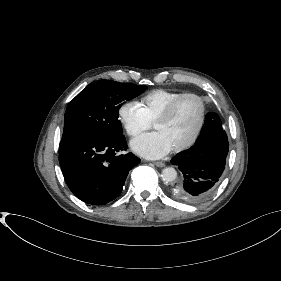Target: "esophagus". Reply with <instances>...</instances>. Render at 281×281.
Returning a JSON list of instances; mask_svg holds the SVG:
<instances>
[{
    "label": "esophagus",
    "instance_id": "esophagus-1",
    "mask_svg": "<svg viewBox=\"0 0 281 281\" xmlns=\"http://www.w3.org/2000/svg\"><path fill=\"white\" fill-rule=\"evenodd\" d=\"M154 165H155V166H157V167L162 168V167H164V166H165V163L160 162V161H157V162H154Z\"/></svg>",
    "mask_w": 281,
    "mask_h": 281
}]
</instances>
